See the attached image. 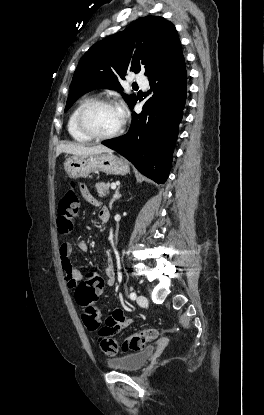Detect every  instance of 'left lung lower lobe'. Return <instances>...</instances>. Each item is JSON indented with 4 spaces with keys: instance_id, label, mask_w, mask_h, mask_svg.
<instances>
[{
    "instance_id": "1",
    "label": "left lung lower lobe",
    "mask_w": 264,
    "mask_h": 415,
    "mask_svg": "<svg viewBox=\"0 0 264 415\" xmlns=\"http://www.w3.org/2000/svg\"><path fill=\"white\" fill-rule=\"evenodd\" d=\"M151 89L140 114L132 112L129 131L102 144L124 156L144 175L165 183L186 102L187 73L182 55L149 77ZM136 103V101H135ZM135 103L130 106L132 110Z\"/></svg>"
}]
</instances>
